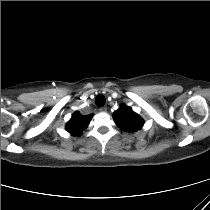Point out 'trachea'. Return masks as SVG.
Wrapping results in <instances>:
<instances>
[{"label": "trachea", "instance_id": "trachea-1", "mask_svg": "<svg viewBox=\"0 0 210 210\" xmlns=\"http://www.w3.org/2000/svg\"><path fill=\"white\" fill-rule=\"evenodd\" d=\"M106 102V99L103 95H98L96 98H95V103L98 107H102Z\"/></svg>", "mask_w": 210, "mask_h": 210}]
</instances>
